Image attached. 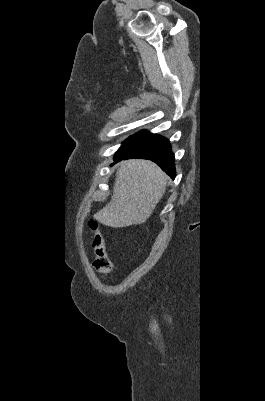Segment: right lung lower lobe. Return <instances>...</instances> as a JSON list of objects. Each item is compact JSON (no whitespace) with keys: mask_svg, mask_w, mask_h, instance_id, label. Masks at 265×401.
<instances>
[{"mask_svg":"<svg viewBox=\"0 0 265 401\" xmlns=\"http://www.w3.org/2000/svg\"><path fill=\"white\" fill-rule=\"evenodd\" d=\"M130 158L149 159L157 163L171 178H175L174 154L169 140L140 131L126 139L114 156L115 161Z\"/></svg>","mask_w":265,"mask_h":401,"instance_id":"obj_1","label":"right lung lower lobe"}]
</instances>
